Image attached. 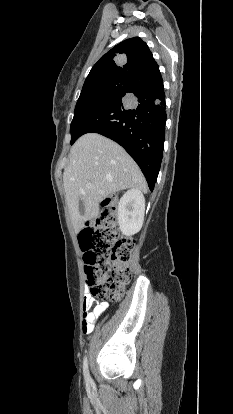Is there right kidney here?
<instances>
[{
	"mask_svg": "<svg viewBox=\"0 0 233 414\" xmlns=\"http://www.w3.org/2000/svg\"><path fill=\"white\" fill-rule=\"evenodd\" d=\"M145 198L141 190H128L118 203V224L122 234L126 236L137 233L143 224Z\"/></svg>",
	"mask_w": 233,
	"mask_h": 414,
	"instance_id": "ca27d5eb",
	"label": "right kidney"
}]
</instances>
